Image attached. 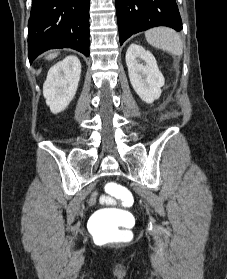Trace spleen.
<instances>
[{"label":"spleen","instance_id":"1","mask_svg":"<svg viewBox=\"0 0 227 279\" xmlns=\"http://www.w3.org/2000/svg\"><path fill=\"white\" fill-rule=\"evenodd\" d=\"M148 43L169 53L181 56L183 53L182 40L178 33L167 27H158L145 32Z\"/></svg>","mask_w":227,"mask_h":279}]
</instances>
